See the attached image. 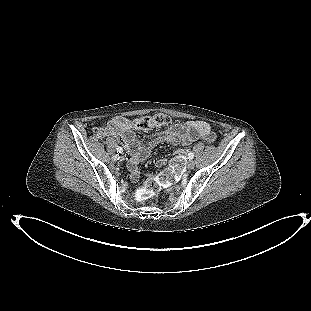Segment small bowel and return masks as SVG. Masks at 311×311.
Masks as SVG:
<instances>
[{"label":"small bowel","instance_id":"c3829d8e","mask_svg":"<svg viewBox=\"0 0 311 311\" xmlns=\"http://www.w3.org/2000/svg\"><path fill=\"white\" fill-rule=\"evenodd\" d=\"M114 121L118 122L119 129L112 134L122 141L131 157L127 168L132 180H138L140 177L139 163L148 158L151 151L161 143L186 145L198 139L208 142L214 140V134L207 122L191 120L184 124H172L166 129L152 134L150 141L147 144H142L136 139L131 120L125 117H115L108 124ZM165 162V159H159L156 163L158 166H162Z\"/></svg>","mask_w":311,"mask_h":311}]
</instances>
